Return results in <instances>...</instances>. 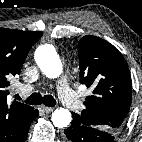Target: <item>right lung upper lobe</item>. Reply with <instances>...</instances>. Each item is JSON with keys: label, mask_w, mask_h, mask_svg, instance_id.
<instances>
[{"label": "right lung upper lobe", "mask_w": 142, "mask_h": 142, "mask_svg": "<svg viewBox=\"0 0 142 142\" xmlns=\"http://www.w3.org/2000/svg\"><path fill=\"white\" fill-rule=\"evenodd\" d=\"M42 32L0 28V142H16L29 126L36 109L7 102L9 80L18 76L31 47Z\"/></svg>", "instance_id": "1"}]
</instances>
